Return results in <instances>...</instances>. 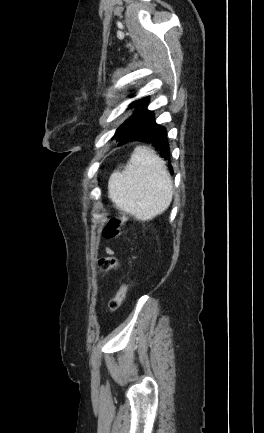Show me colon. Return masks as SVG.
Segmentation results:
<instances>
[{"mask_svg": "<svg viewBox=\"0 0 264 433\" xmlns=\"http://www.w3.org/2000/svg\"><path fill=\"white\" fill-rule=\"evenodd\" d=\"M128 220L126 214H120L118 216L111 217L105 223L102 234L107 239H116L124 236L122 226ZM98 268L101 271H109L120 268V262L115 256L102 257L97 262ZM128 290L127 282H123L118 289L116 295L109 301V309L111 312H115L119 309L123 302Z\"/></svg>", "mask_w": 264, "mask_h": 433, "instance_id": "obj_1", "label": "colon"}]
</instances>
